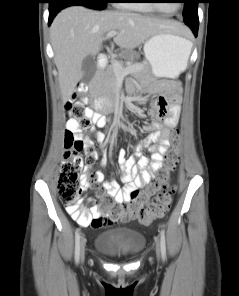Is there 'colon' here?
<instances>
[{
  "label": "colon",
  "instance_id": "5ec220e1",
  "mask_svg": "<svg viewBox=\"0 0 239 296\" xmlns=\"http://www.w3.org/2000/svg\"><path fill=\"white\" fill-rule=\"evenodd\" d=\"M69 121H75L78 129L87 131L91 122L87 116V109L77 101H71L67 106ZM172 148L166 155V172L159 174L148 188L136 191L133 199L127 204L118 203L110 195L103 192L97 172L93 168L96 152L91 143H87L81 136H76L71 130L66 131L64 140L63 160L60 164V174L57 181L58 192L62 202L72 216L80 221L90 220L88 211L80 206V179L84 162L81 152L87 156L88 167L86 178L94 186L99 211L105 218L106 224L118 222L122 215L129 214L142 224H148L153 219L161 217L170 207L175 188L169 182V173L179 159L181 134L178 129L171 134Z\"/></svg>",
  "mask_w": 239,
  "mask_h": 296
}]
</instances>
